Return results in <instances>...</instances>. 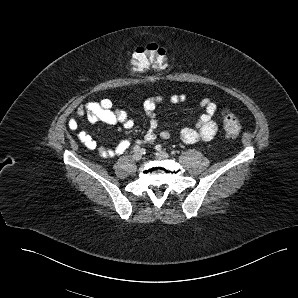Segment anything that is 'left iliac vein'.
Masks as SVG:
<instances>
[{"label":"left iliac vein","mask_w":298,"mask_h":298,"mask_svg":"<svg viewBox=\"0 0 298 298\" xmlns=\"http://www.w3.org/2000/svg\"><path fill=\"white\" fill-rule=\"evenodd\" d=\"M155 155L159 159H167V158H169V155L166 152H164V151L156 152Z\"/></svg>","instance_id":"left-iliac-vein-1"}]
</instances>
